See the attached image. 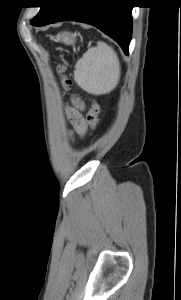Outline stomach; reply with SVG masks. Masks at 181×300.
I'll return each instance as SVG.
<instances>
[{"mask_svg":"<svg viewBox=\"0 0 181 300\" xmlns=\"http://www.w3.org/2000/svg\"><path fill=\"white\" fill-rule=\"evenodd\" d=\"M52 39L55 42H61V43H64L65 45H74L76 42V34L64 32V33L58 34L55 37H52Z\"/></svg>","mask_w":181,"mask_h":300,"instance_id":"0dacf381","label":"stomach"}]
</instances>
